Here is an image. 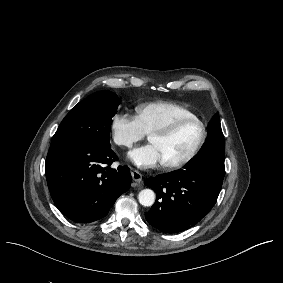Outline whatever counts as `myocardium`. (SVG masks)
Wrapping results in <instances>:
<instances>
[{
    "instance_id": "f54148a6",
    "label": "myocardium",
    "mask_w": 283,
    "mask_h": 283,
    "mask_svg": "<svg viewBox=\"0 0 283 283\" xmlns=\"http://www.w3.org/2000/svg\"><path fill=\"white\" fill-rule=\"evenodd\" d=\"M191 121L196 122L200 125V128H201L200 137L196 145L192 149V151L183 160L179 162H175V163H165V166L170 170H178V169L184 168L185 166L189 165L197 157V155L202 150L206 142V139H207V135H208L207 125L201 118L195 115H185V116H181L175 119L171 124H169L163 130H160V131H157L151 134V137L170 138L171 136L174 135V133L177 131V129L182 124L186 122H191Z\"/></svg>"
}]
</instances>
